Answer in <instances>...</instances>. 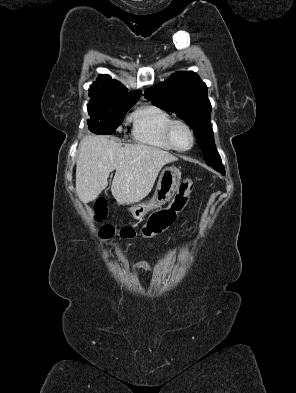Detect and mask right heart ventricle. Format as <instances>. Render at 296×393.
Returning a JSON list of instances; mask_svg holds the SVG:
<instances>
[{"mask_svg": "<svg viewBox=\"0 0 296 393\" xmlns=\"http://www.w3.org/2000/svg\"><path fill=\"white\" fill-rule=\"evenodd\" d=\"M172 116L156 105H143L131 115L132 136L142 144L162 150H173L165 132Z\"/></svg>", "mask_w": 296, "mask_h": 393, "instance_id": "obj_1", "label": "right heart ventricle"}]
</instances>
